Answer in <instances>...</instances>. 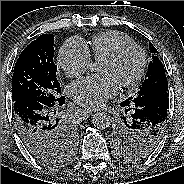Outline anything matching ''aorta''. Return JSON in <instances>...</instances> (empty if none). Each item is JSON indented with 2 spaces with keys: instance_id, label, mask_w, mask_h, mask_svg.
<instances>
[{
  "instance_id": "1",
  "label": "aorta",
  "mask_w": 184,
  "mask_h": 184,
  "mask_svg": "<svg viewBox=\"0 0 184 184\" xmlns=\"http://www.w3.org/2000/svg\"><path fill=\"white\" fill-rule=\"evenodd\" d=\"M92 123L98 129H106L111 124V117L106 112H97L92 117Z\"/></svg>"
}]
</instances>
